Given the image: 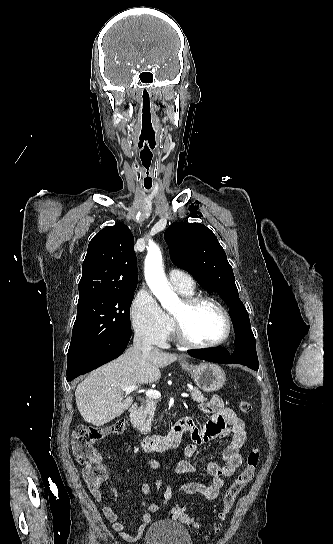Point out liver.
I'll return each instance as SVG.
<instances>
[{"label": "liver", "instance_id": "1", "mask_svg": "<svg viewBox=\"0 0 333 544\" xmlns=\"http://www.w3.org/2000/svg\"><path fill=\"white\" fill-rule=\"evenodd\" d=\"M178 356L153 349L149 354L129 348L119 358L91 372L76 388L77 408L88 423L103 426L123 414L133 403V397H122L123 388L156 382L160 368L177 360Z\"/></svg>", "mask_w": 333, "mask_h": 544}]
</instances>
